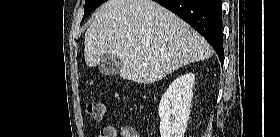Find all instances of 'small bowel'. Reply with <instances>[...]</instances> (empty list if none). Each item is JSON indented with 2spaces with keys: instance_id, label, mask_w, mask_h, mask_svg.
<instances>
[{
  "instance_id": "obj_1",
  "label": "small bowel",
  "mask_w": 280,
  "mask_h": 137,
  "mask_svg": "<svg viewBox=\"0 0 280 137\" xmlns=\"http://www.w3.org/2000/svg\"><path fill=\"white\" fill-rule=\"evenodd\" d=\"M99 137H139V135L130 126L117 128L114 125H106L101 129Z\"/></svg>"
}]
</instances>
